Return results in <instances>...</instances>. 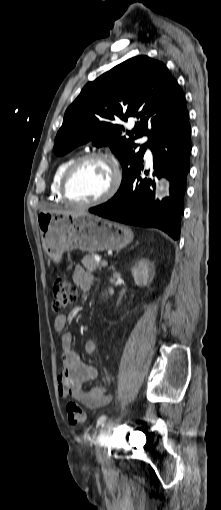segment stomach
I'll return each mask as SVG.
<instances>
[{"label": "stomach", "mask_w": 221, "mask_h": 510, "mask_svg": "<svg viewBox=\"0 0 221 510\" xmlns=\"http://www.w3.org/2000/svg\"><path fill=\"white\" fill-rule=\"evenodd\" d=\"M37 221L43 248L57 263L65 251L79 249L93 253L119 250L133 240V233L128 227L90 214L43 211Z\"/></svg>", "instance_id": "stomach-1"}]
</instances>
